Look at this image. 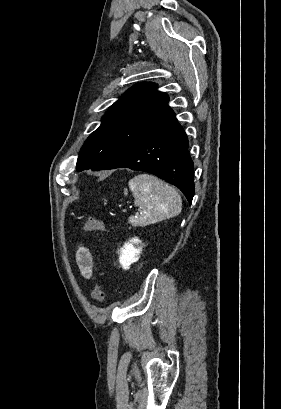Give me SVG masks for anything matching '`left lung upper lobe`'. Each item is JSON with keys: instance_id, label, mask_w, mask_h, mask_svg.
Listing matches in <instances>:
<instances>
[{"instance_id": "obj_1", "label": "left lung upper lobe", "mask_w": 281, "mask_h": 409, "mask_svg": "<svg viewBox=\"0 0 281 409\" xmlns=\"http://www.w3.org/2000/svg\"><path fill=\"white\" fill-rule=\"evenodd\" d=\"M153 83L131 87L102 117V123L84 143L77 171H98L134 143L156 131L175 116L169 97Z\"/></svg>"}]
</instances>
